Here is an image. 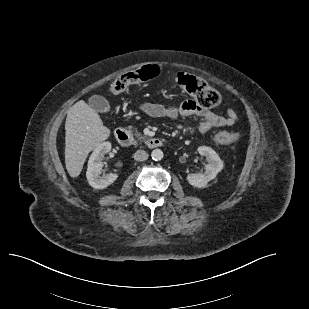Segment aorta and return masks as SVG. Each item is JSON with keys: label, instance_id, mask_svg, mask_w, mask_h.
Wrapping results in <instances>:
<instances>
[{"label": "aorta", "instance_id": "obj_1", "mask_svg": "<svg viewBox=\"0 0 309 309\" xmlns=\"http://www.w3.org/2000/svg\"><path fill=\"white\" fill-rule=\"evenodd\" d=\"M163 151L160 149H154L151 153V157L154 161H160L163 159Z\"/></svg>", "mask_w": 309, "mask_h": 309}]
</instances>
